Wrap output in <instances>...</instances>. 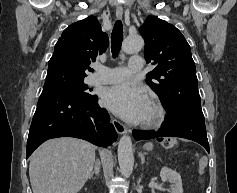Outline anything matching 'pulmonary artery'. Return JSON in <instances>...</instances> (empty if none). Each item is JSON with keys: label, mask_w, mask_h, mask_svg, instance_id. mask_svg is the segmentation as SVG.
<instances>
[{"label": "pulmonary artery", "mask_w": 237, "mask_h": 193, "mask_svg": "<svg viewBox=\"0 0 237 193\" xmlns=\"http://www.w3.org/2000/svg\"><path fill=\"white\" fill-rule=\"evenodd\" d=\"M143 67V59L141 57H132L127 67H105L97 65V72L91 76L90 83L92 85L121 83L126 80L132 73L138 72Z\"/></svg>", "instance_id": "1"}]
</instances>
